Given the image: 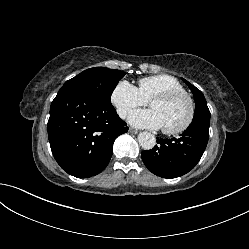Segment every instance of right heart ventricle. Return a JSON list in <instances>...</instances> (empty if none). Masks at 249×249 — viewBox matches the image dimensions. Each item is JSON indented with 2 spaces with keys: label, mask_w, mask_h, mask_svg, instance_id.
I'll return each mask as SVG.
<instances>
[{
  "label": "right heart ventricle",
  "mask_w": 249,
  "mask_h": 249,
  "mask_svg": "<svg viewBox=\"0 0 249 249\" xmlns=\"http://www.w3.org/2000/svg\"><path fill=\"white\" fill-rule=\"evenodd\" d=\"M137 89L146 102L158 94L170 91H184L183 85L176 78L166 74L141 78L138 81Z\"/></svg>",
  "instance_id": "1"
}]
</instances>
